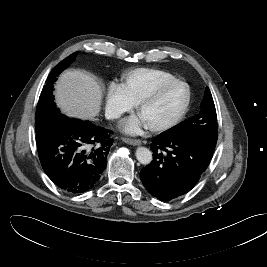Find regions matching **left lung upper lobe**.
Listing matches in <instances>:
<instances>
[{"label": "left lung upper lobe", "instance_id": "left-lung-upper-lobe-1", "mask_svg": "<svg viewBox=\"0 0 267 267\" xmlns=\"http://www.w3.org/2000/svg\"><path fill=\"white\" fill-rule=\"evenodd\" d=\"M200 108L198 115L166 130L162 134L173 137H196L214 149L218 136V124L214 101L208 87L205 89Z\"/></svg>", "mask_w": 267, "mask_h": 267}]
</instances>
